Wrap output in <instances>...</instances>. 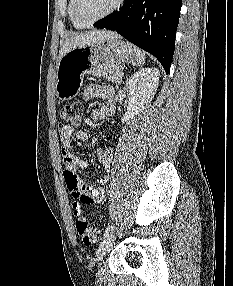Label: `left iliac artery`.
I'll use <instances>...</instances> for the list:
<instances>
[{"instance_id":"obj_1","label":"left iliac artery","mask_w":233,"mask_h":286,"mask_svg":"<svg viewBox=\"0 0 233 286\" xmlns=\"http://www.w3.org/2000/svg\"><path fill=\"white\" fill-rule=\"evenodd\" d=\"M113 230V226L112 225H108L106 230L104 231L103 234V238H105L107 235H109V233Z\"/></svg>"}]
</instances>
